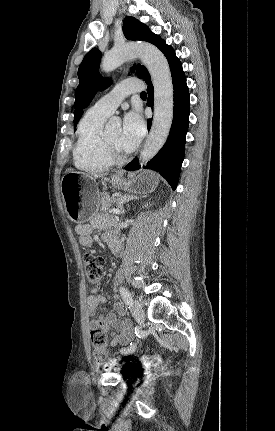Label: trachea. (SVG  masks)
Listing matches in <instances>:
<instances>
[{"mask_svg":"<svg viewBox=\"0 0 275 431\" xmlns=\"http://www.w3.org/2000/svg\"><path fill=\"white\" fill-rule=\"evenodd\" d=\"M140 96H141V97H147V93H146V92H142V93L140 94Z\"/></svg>","mask_w":275,"mask_h":431,"instance_id":"trachea-1","label":"trachea"}]
</instances>
